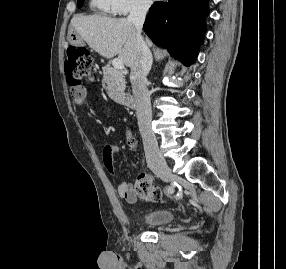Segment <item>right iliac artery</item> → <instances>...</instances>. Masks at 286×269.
Here are the masks:
<instances>
[{"label":"right iliac artery","instance_id":"right-iliac-artery-1","mask_svg":"<svg viewBox=\"0 0 286 269\" xmlns=\"http://www.w3.org/2000/svg\"><path fill=\"white\" fill-rule=\"evenodd\" d=\"M168 192H170V193L172 192L171 188L168 189Z\"/></svg>","mask_w":286,"mask_h":269}]
</instances>
